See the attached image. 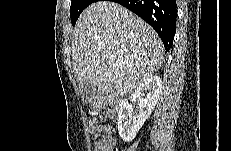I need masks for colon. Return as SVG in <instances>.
Returning <instances> with one entry per match:
<instances>
[{"label": "colon", "instance_id": "colon-1", "mask_svg": "<svg viewBox=\"0 0 231 151\" xmlns=\"http://www.w3.org/2000/svg\"><path fill=\"white\" fill-rule=\"evenodd\" d=\"M110 138H111L110 134L108 132H106V134H105V140H110Z\"/></svg>", "mask_w": 231, "mask_h": 151}]
</instances>
